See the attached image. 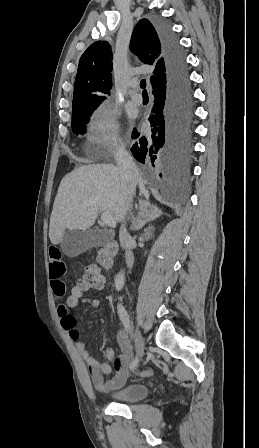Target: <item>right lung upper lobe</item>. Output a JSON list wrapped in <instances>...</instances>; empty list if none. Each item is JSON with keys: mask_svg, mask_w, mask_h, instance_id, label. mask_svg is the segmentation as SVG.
<instances>
[{"mask_svg": "<svg viewBox=\"0 0 259 448\" xmlns=\"http://www.w3.org/2000/svg\"><path fill=\"white\" fill-rule=\"evenodd\" d=\"M130 43V50L143 63L155 65L150 82L152 91H157L166 84L167 77L161 39L156 26L145 18L140 20L133 30ZM112 59V50L106 41H96L86 49L79 61L72 111L98 107L105 99L103 95H110Z\"/></svg>", "mask_w": 259, "mask_h": 448, "instance_id": "obj_1", "label": "right lung upper lobe"}]
</instances>
